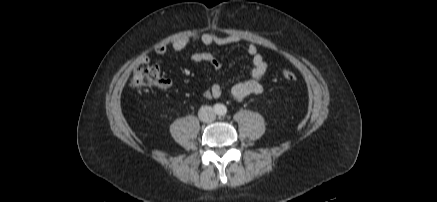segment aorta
Segmentation results:
<instances>
[{
  "instance_id": "aorta-1",
  "label": "aorta",
  "mask_w": 437,
  "mask_h": 202,
  "mask_svg": "<svg viewBox=\"0 0 437 202\" xmlns=\"http://www.w3.org/2000/svg\"><path fill=\"white\" fill-rule=\"evenodd\" d=\"M221 111H222L223 114L226 113V107L222 105L221 106Z\"/></svg>"
}]
</instances>
